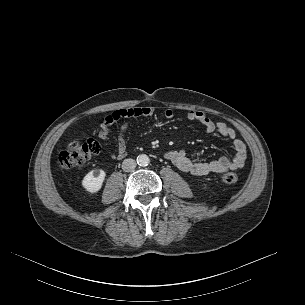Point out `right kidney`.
Here are the masks:
<instances>
[{
    "mask_svg": "<svg viewBox=\"0 0 305 305\" xmlns=\"http://www.w3.org/2000/svg\"><path fill=\"white\" fill-rule=\"evenodd\" d=\"M106 173L101 169L91 170L82 180V186L90 193L98 192L104 182Z\"/></svg>",
    "mask_w": 305,
    "mask_h": 305,
    "instance_id": "ca27d5eb",
    "label": "right kidney"
}]
</instances>
